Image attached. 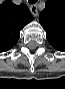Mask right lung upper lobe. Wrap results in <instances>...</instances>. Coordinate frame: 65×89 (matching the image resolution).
<instances>
[{"label":"right lung upper lobe","instance_id":"obj_1","mask_svg":"<svg viewBox=\"0 0 65 89\" xmlns=\"http://www.w3.org/2000/svg\"><path fill=\"white\" fill-rule=\"evenodd\" d=\"M32 20L26 5L5 0L0 5V52L11 49L18 42L21 29Z\"/></svg>","mask_w":65,"mask_h":89}]
</instances>
